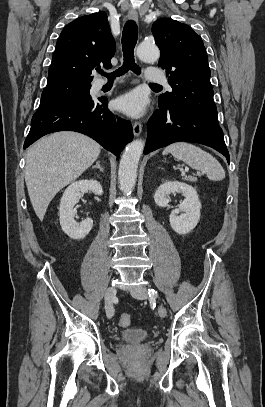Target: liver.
Returning a JSON list of instances; mask_svg holds the SVG:
<instances>
[{
	"label": "liver",
	"mask_w": 265,
	"mask_h": 407,
	"mask_svg": "<svg viewBox=\"0 0 265 407\" xmlns=\"http://www.w3.org/2000/svg\"><path fill=\"white\" fill-rule=\"evenodd\" d=\"M90 137L61 131L43 137L26 154L25 182L33 209L42 221L54 196L76 180L100 155Z\"/></svg>",
	"instance_id": "obj_1"
}]
</instances>
